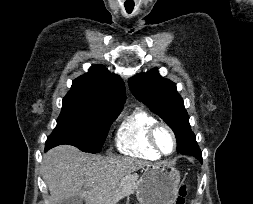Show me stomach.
<instances>
[{"instance_id":"0dacf381","label":"stomach","mask_w":253,"mask_h":204,"mask_svg":"<svg viewBox=\"0 0 253 204\" xmlns=\"http://www.w3.org/2000/svg\"><path fill=\"white\" fill-rule=\"evenodd\" d=\"M180 178V172L169 163L147 165L136 185L139 204H174Z\"/></svg>"}]
</instances>
